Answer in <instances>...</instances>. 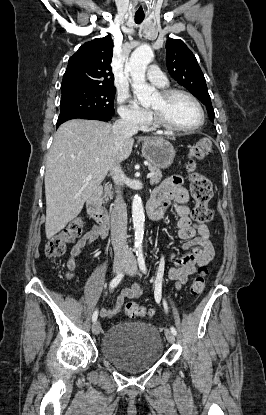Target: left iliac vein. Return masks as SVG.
<instances>
[{"instance_id": "left-iliac-vein-1", "label": "left iliac vein", "mask_w": 266, "mask_h": 415, "mask_svg": "<svg viewBox=\"0 0 266 415\" xmlns=\"http://www.w3.org/2000/svg\"><path fill=\"white\" fill-rule=\"evenodd\" d=\"M125 270H126V273L130 276H133V275L137 274V272H138L137 262H136V259L133 256L130 257V259L128 260V263L126 265ZM165 336H166L169 343H174L175 342V336L170 330H168V329L165 330Z\"/></svg>"}]
</instances>
